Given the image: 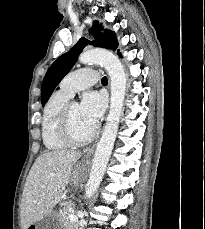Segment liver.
Segmentation results:
<instances>
[{
    "instance_id": "6515ba94",
    "label": "liver",
    "mask_w": 205,
    "mask_h": 229,
    "mask_svg": "<svg viewBox=\"0 0 205 229\" xmlns=\"http://www.w3.org/2000/svg\"><path fill=\"white\" fill-rule=\"evenodd\" d=\"M81 156L82 153L76 150H56L37 158L23 191L22 229L43 219L60 202L70 183L73 166Z\"/></svg>"
}]
</instances>
